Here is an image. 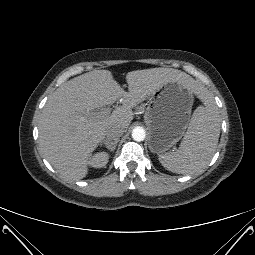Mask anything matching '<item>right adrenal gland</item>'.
Returning a JSON list of instances; mask_svg holds the SVG:
<instances>
[{"instance_id":"obj_1","label":"right adrenal gland","mask_w":255,"mask_h":255,"mask_svg":"<svg viewBox=\"0 0 255 255\" xmlns=\"http://www.w3.org/2000/svg\"><path fill=\"white\" fill-rule=\"evenodd\" d=\"M105 143L103 142H101L100 143V146H102V145H104ZM105 146H106V148L110 151V152H113L114 150H115V148H116V146H117V142L113 145V146H107L106 144H105Z\"/></svg>"}]
</instances>
